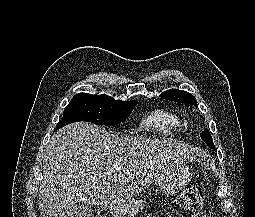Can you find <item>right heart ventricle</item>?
<instances>
[{"label": "right heart ventricle", "mask_w": 255, "mask_h": 217, "mask_svg": "<svg viewBox=\"0 0 255 217\" xmlns=\"http://www.w3.org/2000/svg\"><path fill=\"white\" fill-rule=\"evenodd\" d=\"M143 125L158 134L172 135L181 126V121L168 110L156 109L144 119Z\"/></svg>", "instance_id": "obj_1"}]
</instances>
